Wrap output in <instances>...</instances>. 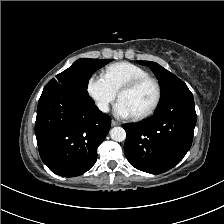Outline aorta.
I'll list each match as a JSON object with an SVG mask.
<instances>
[{
	"label": "aorta",
	"instance_id": "762f6f07",
	"mask_svg": "<svg viewBox=\"0 0 224 224\" xmlns=\"http://www.w3.org/2000/svg\"><path fill=\"white\" fill-rule=\"evenodd\" d=\"M112 140L122 142L126 139V131L122 127H114L110 130Z\"/></svg>",
	"mask_w": 224,
	"mask_h": 224
}]
</instances>
